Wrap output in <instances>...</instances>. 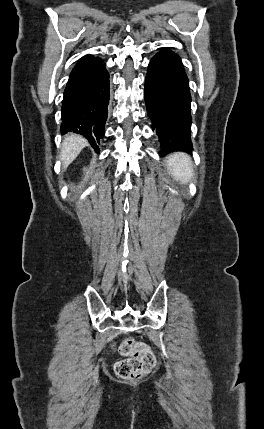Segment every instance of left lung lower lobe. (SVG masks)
Masks as SVG:
<instances>
[{"label": "left lung lower lobe", "mask_w": 264, "mask_h": 429, "mask_svg": "<svg viewBox=\"0 0 264 429\" xmlns=\"http://www.w3.org/2000/svg\"><path fill=\"white\" fill-rule=\"evenodd\" d=\"M145 101L161 143L160 155L190 152L189 81L180 57L171 50L163 49L151 59L145 80Z\"/></svg>", "instance_id": "left-lung-lower-lobe-1"}]
</instances>
